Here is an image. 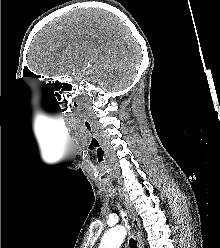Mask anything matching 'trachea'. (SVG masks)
<instances>
[{
    "label": "trachea",
    "instance_id": "obj_1",
    "mask_svg": "<svg viewBox=\"0 0 220 248\" xmlns=\"http://www.w3.org/2000/svg\"><path fill=\"white\" fill-rule=\"evenodd\" d=\"M129 246L130 248H137V242L133 238L129 240Z\"/></svg>",
    "mask_w": 220,
    "mask_h": 248
}]
</instances>
